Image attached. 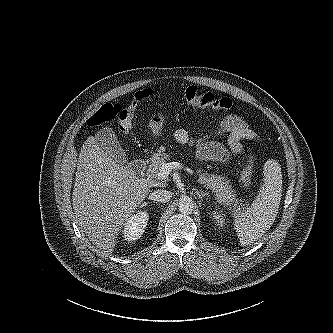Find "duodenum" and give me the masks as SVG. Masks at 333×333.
Instances as JSON below:
<instances>
[{"label": "duodenum", "mask_w": 333, "mask_h": 333, "mask_svg": "<svg viewBox=\"0 0 333 333\" xmlns=\"http://www.w3.org/2000/svg\"><path fill=\"white\" fill-rule=\"evenodd\" d=\"M130 169L133 172L143 173L147 169V162L143 159H137L131 162Z\"/></svg>", "instance_id": "duodenum-1"}]
</instances>
